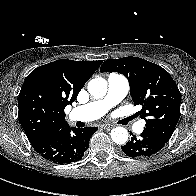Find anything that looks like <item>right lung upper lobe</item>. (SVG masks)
I'll return each mask as SVG.
<instances>
[{
	"instance_id": "cb5924a9",
	"label": "right lung upper lobe",
	"mask_w": 196,
	"mask_h": 196,
	"mask_svg": "<svg viewBox=\"0 0 196 196\" xmlns=\"http://www.w3.org/2000/svg\"><path fill=\"white\" fill-rule=\"evenodd\" d=\"M102 61L57 60L33 70L19 93V120L32 146L65 127L64 109Z\"/></svg>"
}]
</instances>
